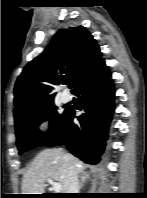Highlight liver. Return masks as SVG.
<instances>
[{
	"label": "liver",
	"instance_id": "1",
	"mask_svg": "<svg viewBox=\"0 0 147 198\" xmlns=\"http://www.w3.org/2000/svg\"><path fill=\"white\" fill-rule=\"evenodd\" d=\"M84 173V163L61 149H45L38 153L22 178V194H43L48 179L61 184L63 193L68 189V166Z\"/></svg>",
	"mask_w": 147,
	"mask_h": 198
}]
</instances>
